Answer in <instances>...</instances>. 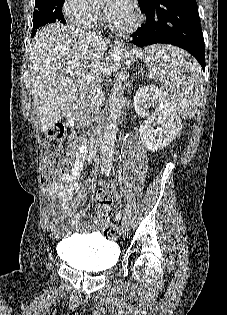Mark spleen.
Returning a JSON list of instances; mask_svg holds the SVG:
<instances>
[{
	"mask_svg": "<svg viewBox=\"0 0 227 315\" xmlns=\"http://www.w3.org/2000/svg\"><path fill=\"white\" fill-rule=\"evenodd\" d=\"M141 57L163 83L162 94L176 112L194 117L204 83L199 64L173 46H152Z\"/></svg>",
	"mask_w": 227,
	"mask_h": 315,
	"instance_id": "obj_1",
	"label": "spleen"
}]
</instances>
